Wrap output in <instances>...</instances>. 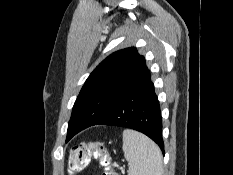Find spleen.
<instances>
[{"instance_id":"obj_1","label":"spleen","mask_w":233,"mask_h":175,"mask_svg":"<svg viewBox=\"0 0 233 175\" xmlns=\"http://www.w3.org/2000/svg\"><path fill=\"white\" fill-rule=\"evenodd\" d=\"M122 149L129 164L128 175H163L162 153L144 134L124 130Z\"/></svg>"}]
</instances>
